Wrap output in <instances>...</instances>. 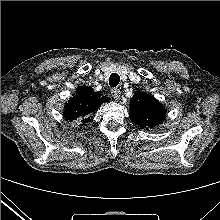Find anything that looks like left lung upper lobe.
<instances>
[{"mask_svg": "<svg viewBox=\"0 0 220 220\" xmlns=\"http://www.w3.org/2000/svg\"><path fill=\"white\" fill-rule=\"evenodd\" d=\"M161 103L145 93L136 92L130 101L131 119L141 128H154L161 124L166 115Z\"/></svg>", "mask_w": 220, "mask_h": 220, "instance_id": "1", "label": "left lung upper lobe"}]
</instances>
